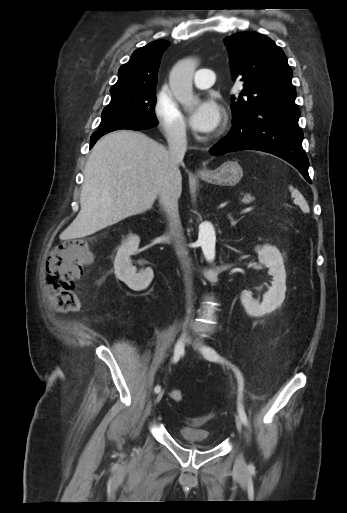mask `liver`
<instances>
[{
    "mask_svg": "<svg viewBox=\"0 0 347 513\" xmlns=\"http://www.w3.org/2000/svg\"><path fill=\"white\" fill-rule=\"evenodd\" d=\"M166 183L182 192L167 149L142 132L119 130L97 141L86 162L81 209L62 239L82 238L151 209Z\"/></svg>",
    "mask_w": 347,
    "mask_h": 513,
    "instance_id": "obj_1",
    "label": "liver"
}]
</instances>
